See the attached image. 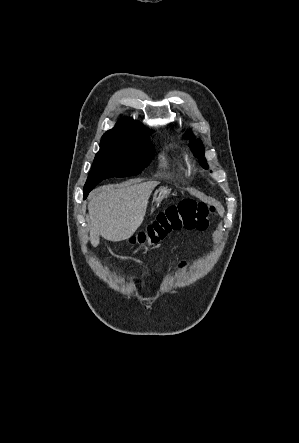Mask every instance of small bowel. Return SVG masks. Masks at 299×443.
I'll use <instances>...</instances> for the list:
<instances>
[{"label":"small bowel","instance_id":"small-bowel-1","mask_svg":"<svg viewBox=\"0 0 299 443\" xmlns=\"http://www.w3.org/2000/svg\"><path fill=\"white\" fill-rule=\"evenodd\" d=\"M185 268V263L180 264V269L183 270Z\"/></svg>","mask_w":299,"mask_h":443}]
</instances>
